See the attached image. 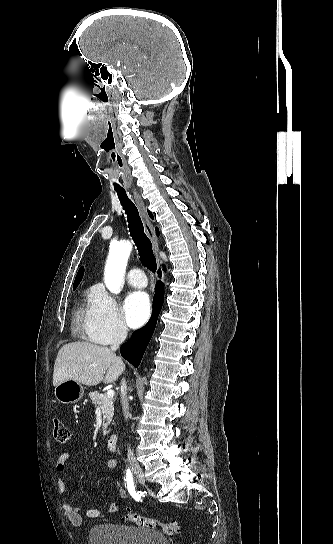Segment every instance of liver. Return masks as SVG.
Masks as SVG:
<instances>
[{
  "mask_svg": "<svg viewBox=\"0 0 333 544\" xmlns=\"http://www.w3.org/2000/svg\"><path fill=\"white\" fill-rule=\"evenodd\" d=\"M124 369L125 364L111 349L89 342H71L58 352L53 385L57 386L69 379L87 386L102 381L109 384L116 381Z\"/></svg>",
  "mask_w": 333,
  "mask_h": 544,
  "instance_id": "6515ba94",
  "label": "liver"
}]
</instances>
